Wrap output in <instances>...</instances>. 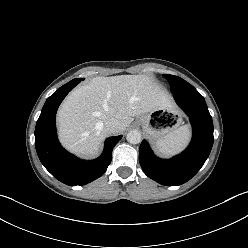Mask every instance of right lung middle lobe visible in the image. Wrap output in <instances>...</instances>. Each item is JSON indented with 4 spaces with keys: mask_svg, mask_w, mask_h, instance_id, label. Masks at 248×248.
<instances>
[{
    "mask_svg": "<svg viewBox=\"0 0 248 248\" xmlns=\"http://www.w3.org/2000/svg\"><path fill=\"white\" fill-rule=\"evenodd\" d=\"M79 79H80V81L84 80L83 78H79Z\"/></svg>",
    "mask_w": 248,
    "mask_h": 248,
    "instance_id": "1",
    "label": "right lung middle lobe"
}]
</instances>
